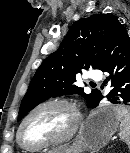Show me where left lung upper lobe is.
<instances>
[{
    "label": "left lung upper lobe",
    "mask_w": 130,
    "mask_h": 153,
    "mask_svg": "<svg viewBox=\"0 0 130 153\" xmlns=\"http://www.w3.org/2000/svg\"><path fill=\"white\" fill-rule=\"evenodd\" d=\"M123 30L118 19L108 14H94L76 21L59 49L37 69L22 100L18 121L39 103L55 96L81 94L92 106L101 92L95 89L85 94L76 75L83 69H101L112 42Z\"/></svg>",
    "instance_id": "left-lung-upper-lobe-1"
}]
</instances>
